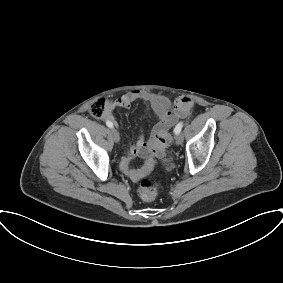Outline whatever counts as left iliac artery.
Listing matches in <instances>:
<instances>
[{"label":"left iliac artery","instance_id":"obj_1","mask_svg":"<svg viewBox=\"0 0 283 283\" xmlns=\"http://www.w3.org/2000/svg\"><path fill=\"white\" fill-rule=\"evenodd\" d=\"M182 127H183V123L182 122L178 123L174 129L175 134H179L182 130Z\"/></svg>","mask_w":283,"mask_h":283}]
</instances>
